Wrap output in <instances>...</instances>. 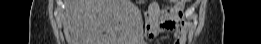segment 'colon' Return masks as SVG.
Masks as SVG:
<instances>
[{"label":"colon","instance_id":"obj_1","mask_svg":"<svg viewBox=\"0 0 261 44\" xmlns=\"http://www.w3.org/2000/svg\"><path fill=\"white\" fill-rule=\"evenodd\" d=\"M176 6H181L186 4V0H174L172 1Z\"/></svg>","mask_w":261,"mask_h":44}]
</instances>
